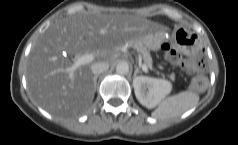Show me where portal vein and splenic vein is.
Instances as JSON below:
<instances>
[{"instance_id": "1", "label": "portal vein and splenic vein", "mask_w": 238, "mask_h": 145, "mask_svg": "<svg viewBox=\"0 0 238 145\" xmlns=\"http://www.w3.org/2000/svg\"><path fill=\"white\" fill-rule=\"evenodd\" d=\"M94 60V56L92 54H85L77 57L75 63L70 67L69 69V76L71 79L74 78V70H76L78 67L88 64ZM141 68L144 72H148V67L145 64L141 65Z\"/></svg>"}]
</instances>
